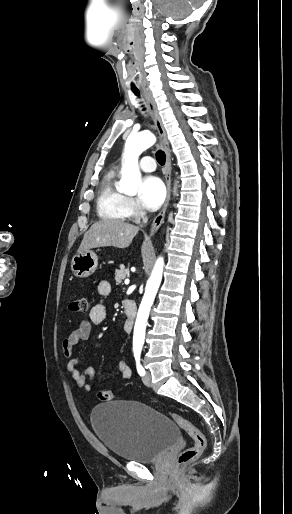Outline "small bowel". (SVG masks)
I'll return each mask as SVG.
<instances>
[{
  "mask_svg": "<svg viewBox=\"0 0 292 514\" xmlns=\"http://www.w3.org/2000/svg\"><path fill=\"white\" fill-rule=\"evenodd\" d=\"M97 291L100 295L107 296L111 293V284L106 280H102L97 285ZM106 317L107 311L105 306L103 304H95L91 308L88 317L74 326L68 337L62 342L63 354L67 359V373L72 377L79 389L87 392L93 389L96 371L92 367L80 371L77 368L80 359L73 355V350L76 346L87 341L91 336L92 330L101 326L105 322ZM116 368L123 380H129L132 377V370L125 361H119Z\"/></svg>",
  "mask_w": 292,
  "mask_h": 514,
  "instance_id": "c3829d8e",
  "label": "small bowel"
}]
</instances>
